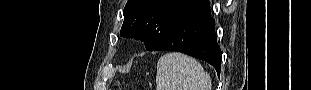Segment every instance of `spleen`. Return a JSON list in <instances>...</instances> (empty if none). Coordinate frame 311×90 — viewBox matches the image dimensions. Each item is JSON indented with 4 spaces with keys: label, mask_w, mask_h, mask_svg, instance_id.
Masks as SVG:
<instances>
[{
    "label": "spleen",
    "mask_w": 311,
    "mask_h": 90,
    "mask_svg": "<svg viewBox=\"0 0 311 90\" xmlns=\"http://www.w3.org/2000/svg\"><path fill=\"white\" fill-rule=\"evenodd\" d=\"M156 89L211 90V79L197 60L172 52L158 60Z\"/></svg>",
    "instance_id": "obj_1"
}]
</instances>
